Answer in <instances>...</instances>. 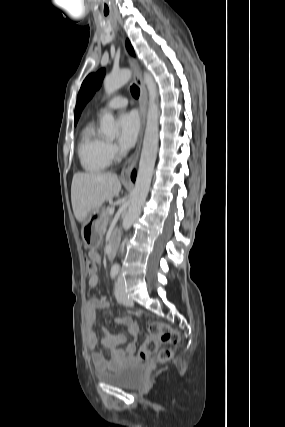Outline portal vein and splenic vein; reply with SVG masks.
I'll return each mask as SVG.
<instances>
[{"mask_svg": "<svg viewBox=\"0 0 285 427\" xmlns=\"http://www.w3.org/2000/svg\"><path fill=\"white\" fill-rule=\"evenodd\" d=\"M114 211H115V209H114V207H113V208H111V209H110L109 214H110V215L114 214Z\"/></svg>", "mask_w": 285, "mask_h": 427, "instance_id": "portal-vein-and-splenic-vein-1", "label": "portal vein and splenic vein"}]
</instances>
